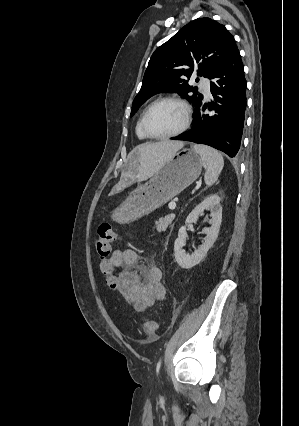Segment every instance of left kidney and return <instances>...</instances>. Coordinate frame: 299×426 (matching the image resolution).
<instances>
[{"label": "left kidney", "instance_id": "5707ae66", "mask_svg": "<svg viewBox=\"0 0 299 426\" xmlns=\"http://www.w3.org/2000/svg\"><path fill=\"white\" fill-rule=\"evenodd\" d=\"M204 210L210 211V215L212 217L211 227L203 229V233L206 234L204 243L191 255H187L182 249V247L185 245L187 237L186 226L196 222L199 218V215ZM221 221L222 207L220 205V197L216 194L206 197L192 210V212L186 218L185 225L179 229L178 237L174 243V256L180 267L184 269H190L200 263V261L206 256L207 252L216 241L220 230Z\"/></svg>", "mask_w": 299, "mask_h": 426}]
</instances>
